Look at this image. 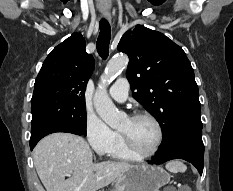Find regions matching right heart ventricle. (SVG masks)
<instances>
[{
  "label": "right heart ventricle",
  "mask_w": 233,
  "mask_h": 191,
  "mask_svg": "<svg viewBox=\"0 0 233 191\" xmlns=\"http://www.w3.org/2000/svg\"><path fill=\"white\" fill-rule=\"evenodd\" d=\"M112 158L124 161H137L141 158L133 154L125 145L122 137L120 136L116 146L109 154Z\"/></svg>",
  "instance_id": "1"
}]
</instances>
